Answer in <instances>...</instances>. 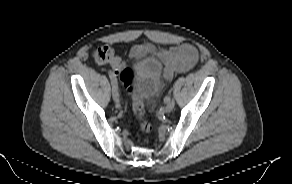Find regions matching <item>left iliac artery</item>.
<instances>
[{
  "label": "left iliac artery",
  "mask_w": 292,
  "mask_h": 184,
  "mask_svg": "<svg viewBox=\"0 0 292 184\" xmlns=\"http://www.w3.org/2000/svg\"><path fill=\"white\" fill-rule=\"evenodd\" d=\"M169 100H170V96L169 95L165 96L164 98L165 103H167Z\"/></svg>",
  "instance_id": "1"
}]
</instances>
